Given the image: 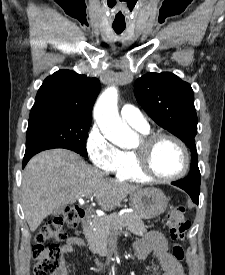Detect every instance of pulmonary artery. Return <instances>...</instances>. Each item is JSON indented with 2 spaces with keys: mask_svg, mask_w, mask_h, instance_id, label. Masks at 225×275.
I'll use <instances>...</instances> for the list:
<instances>
[{
  "mask_svg": "<svg viewBox=\"0 0 225 275\" xmlns=\"http://www.w3.org/2000/svg\"><path fill=\"white\" fill-rule=\"evenodd\" d=\"M120 114L125 122H127L135 128H149L147 120L145 119L143 114L135 106L131 104L124 105L120 110Z\"/></svg>",
  "mask_w": 225,
  "mask_h": 275,
  "instance_id": "e3ab8cb5",
  "label": "pulmonary artery"
}]
</instances>
